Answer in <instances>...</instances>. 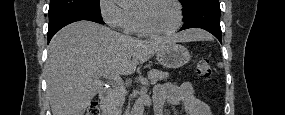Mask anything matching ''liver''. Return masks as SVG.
I'll return each mask as SVG.
<instances>
[{"label":"liver","mask_w":285,"mask_h":115,"mask_svg":"<svg viewBox=\"0 0 285 115\" xmlns=\"http://www.w3.org/2000/svg\"><path fill=\"white\" fill-rule=\"evenodd\" d=\"M197 29L173 38L139 40L90 21L62 28L50 41L46 61L47 93L53 115H84L107 73L133 74L138 64L174 42L207 38Z\"/></svg>","instance_id":"obj_1"}]
</instances>
